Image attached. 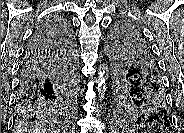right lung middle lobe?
<instances>
[{"mask_svg": "<svg viewBox=\"0 0 184 133\" xmlns=\"http://www.w3.org/2000/svg\"><path fill=\"white\" fill-rule=\"evenodd\" d=\"M62 21V25L68 31L69 36L74 39L73 32L70 24L63 18H53ZM74 45V40H71ZM74 61L69 63V76L64 80L62 89L57 94L42 102L35 105L17 104L16 110L20 117H29L33 115H46L50 113H56L68 109L73 102V83L75 81V71L73 69Z\"/></svg>", "mask_w": 184, "mask_h": 133, "instance_id": "obj_1", "label": "right lung middle lobe"}]
</instances>
